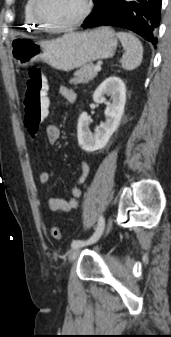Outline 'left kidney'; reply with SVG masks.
<instances>
[{"label":"left kidney","mask_w":171,"mask_h":337,"mask_svg":"<svg viewBox=\"0 0 171 337\" xmlns=\"http://www.w3.org/2000/svg\"><path fill=\"white\" fill-rule=\"evenodd\" d=\"M105 96L111 97V103L105 110L106 121L102 122L93 134L89 130L91 118L83 112L78 120V143L86 152H94L104 148L112 134L117 130L126 102V87L122 79L111 76L105 79L93 94L96 103H104Z\"/></svg>","instance_id":"left-kidney-1"}]
</instances>
